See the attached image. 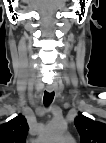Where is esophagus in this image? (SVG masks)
Segmentation results:
<instances>
[{"label": "esophagus", "mask_w": 106, "mask_h": 143, "mask_svg": "<svg viewBox=\"0 0 106 143\" xmlns=\"http://www.w3.org/2000/svg\"><path fill=\"white\" fill-rule=\"evenodd\" d=\"M46 90L48 93H52V92H55L56 91V87L53 86V85H49L46 87Z\"/></svg>", "instance_id": "esophagus-1"}]
</instances>
